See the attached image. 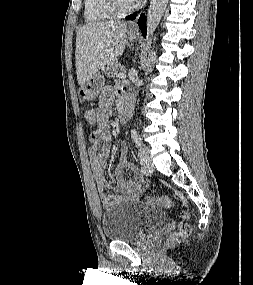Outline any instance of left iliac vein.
<instances>
[{
    "instance_id": "1",
    "label": "left iliac vein",
    "mask_w": 253,
    "mask_h": 285,
    "mask_svg": "<svg viewBox=\"0 0 253 285\" xmlns=\"http://www.w3.org/2000/svg\"><path fill=\"white\" fill-rule=\"evenodd\" d=\"M139 159L145 171L152 172L154 170L150 149L147 146L139 148Z\"/></svg>"
}]
</instances>
